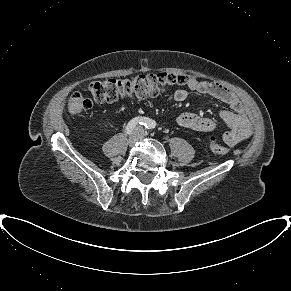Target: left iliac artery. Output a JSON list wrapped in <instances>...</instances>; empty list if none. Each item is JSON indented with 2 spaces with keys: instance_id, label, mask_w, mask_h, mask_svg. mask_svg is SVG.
<instances>
[{
  "instance_id": "obj_1",
  "label": "left iliac artery",
  "mask_w": 291,
  "mask_h": 291,
  "mask_svg": "<svg viewBox=\"0 0 291 291\" xmlns=\"http://www.w3.org/2000/svg\"><path fill=\"white\" fill-rule=\"evenodd\" d=\"M147 129H153L155 127V123L152 120H149L148 123L145 125Z\"/></svg>"
}]
</instances>
